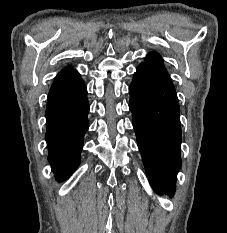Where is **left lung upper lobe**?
I'll use <instances>...</instances> for the list:
<instances>
[{"label": "left lung upper lobe", "instance_id": "5c2ea615", "mask_svg": "<svg viewBox=\"0 0 227 233\" xmlns=\"http://www.w3.org/2000/svg\"><path fill=\"white\" fill-rule=\"evenodd\" d=\"M140 65L147 66L157 71L167 73V70L163 65V60L161 56L155 52L148 54V56L145 59V62L141 63Z\"/></svg>", "mask_w": 227, "mask_h": 233}]
</instances>
